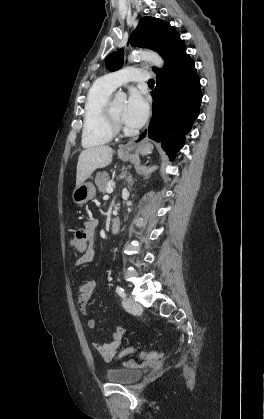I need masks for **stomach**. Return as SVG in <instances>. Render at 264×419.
Returning <instances> with one entry per match:
<instances>
[{
	"mask_svg": "<svg viewBox=\"0 0 264 419\" xmlns=\"http://www.w3.org/2000/svg\"><path fill=\"white\" fill-rule=\"evenodd\" d=\"M153 146L148 142H143L137 149V152L142 155H147L151 153ZM119 158L125 160L128 158V155L119 154ZM96 189L91 182H84L79 186H76L72 193V200L77 205H82L87 203L89 200H92L95 197Z\"/></svg>",
	"mask_w": 264,
	"mask_h": 419,
	"instance_id": "1",
	"label": "stomach"
}]
</instances>
